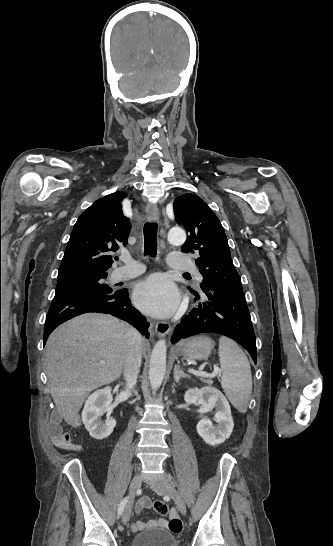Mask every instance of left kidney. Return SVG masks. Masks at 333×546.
Wrapping results in <instances>:
<instances>
[{
  "mask_svg": "<svg viewBox=\"0 0 333 546\" xmlns=\"http://www.w3.org/2000/svg\"><path fill=\"white\" fill-rule=\"evenodd\" d=\"M184 400L189 404H200L207 410L215 409L216 427L207 418H202L197 424V432L205 443L214 446L229 438L234 423L229 402L220 390L210 386L192 388L186 391Z\"/></svg>",
  "mask_w": 333,
  "mask_h": 546,
  "instance_id": "1",
  "label": "left kidney"
}]
</instances>
